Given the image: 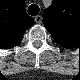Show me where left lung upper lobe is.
<instances>
[{
  "instance_id": "obj_1",
  "label": "left lung upper lobe",
  "mask_w": 80,
  "mask_h": 80,
  "mask_svg": "<svg viewBox=\"0 0 80 80\" xmlns=\"http://www.w3.org/2000/svg\"><path fill=\"white\" fill-rule=\"evenodd\" d=\"M69 3L70 0H53L43 16L45 27L60 44L74 42V32L78 31L77 24L73 23Z\"/></svg>"
}]
</instances>
